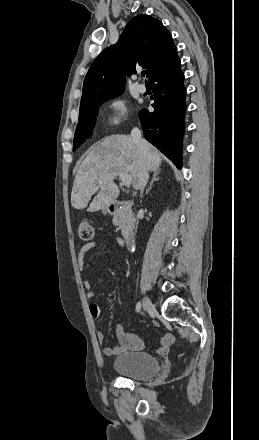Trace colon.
I'll list each match as a JSON object with an SVG mask.
<instances>
[{
    "label": "colon",
    "mask_w": 259,
    "mask_h": 440,
    "mask_svg": "<svg viewBox=\"0 0 259 440\" xmlns=\"http://www.w3.org/2000/svg\"><path fill=\"white\" fill-rule=\"evenodd\" d=\"M78 236L81 241L89 242L95 236V230L89 222H82L78 227Z\"/></svg>",
    "instance_id": "1"
}]
</instances>
